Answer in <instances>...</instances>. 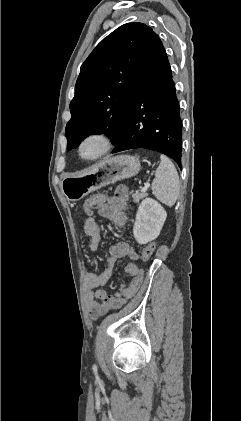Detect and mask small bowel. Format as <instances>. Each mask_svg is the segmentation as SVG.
<instances>
[{
  "mask_svg": "<svg viewBox=\"0 0 241 421\" xmlns=\"http://www.w3.org/2000/svg\"><path fill=\"white\" fill-rule=\"evenodd\" d=\"M129 191L126 186H118L112 197L98 207V215L114 221L123 227L126 222L124 210L127 207ZM83 231L89 237V247L97 250L101 242V228L96 217L90 216L83 223ZM138 253L125 241L114 244L108 252L106 267L101 273L89 272L85 275L84 294L87 310L92 319H98L111 309L121 307L125 300L120 293H109L103 287L110 280L116 262L124 257L138 258Z\"/></svg>",
  "mask_w": 241,
  "mask_h": 421,
  "instance_id": "obj_1",
  "label": "small bowel"
}]
</instances>
